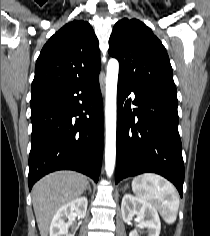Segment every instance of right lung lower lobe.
I'll list each match as a JSON object with an SVG mask.
<instances>
[{"mask_svg":"<svg viewBox=\"0 0 210 236\" xmlns=\"http://www.w3.org/2000/svg\"><path fill=\"white\" fill-rule=\"evenodd\" d=\"M98 74L31 105L29 190L44 175L62 169L98 181L104 142Z\"/></svg>","mask_w":210,"mask_h":236,"instance_id":"1","label":"right lung lower lobe"}]
</instances>
